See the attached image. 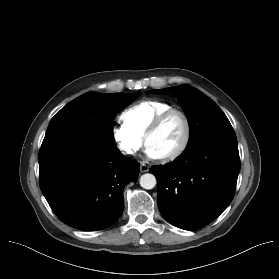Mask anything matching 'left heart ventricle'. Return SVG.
Returning <instances> with one entry per match:
<instances>
[{"label":"left heart ventricle","instance_id":"1","mask_svg":"<svg viewBox=\"0 0 279 279\" xmlns=\"http://www.w3.org/2000/svg\"><path fill=\"white\" fill-rule=\"evenodd\" d=\"M184 132L185 127L182 118L173 114L149 137L147 146L162 157L178 148L183 140Z\"/></svg>","mask_w":279,"mask_h":279}]
</instances>
